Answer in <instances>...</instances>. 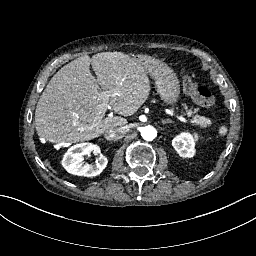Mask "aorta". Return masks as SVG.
I'll use <instances>...</instances> for the list:
<instances>
[{"label": "aorta", "instance_id": "obj_1", "mask_svg": "<svg viewBox=\"0 0 256 256\" xmlns=\"http://www.w3.org/2000/svg\"><path fill=\"white\" fill-rule=\"evenodd\" d=\"M140 133L142 138L146 141H152L157 136V130L151 125L142 127Z\"/></svg>", "mask_w": 256, "mask_h": 256}]
</instances>
